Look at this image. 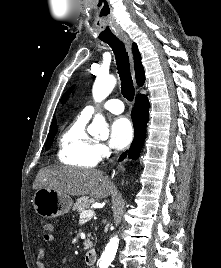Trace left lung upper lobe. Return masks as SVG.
Returning <instances> with one entry per match:
<instances>
[{"instance_id":"obj_1","label":"left lung upper lobe","mask_w":221,"mask_h":268,"mask_svg":"<svg viewBox=\"0 0 221 268\" xmlns=\"http://www.w3.org/2000/svg\"><path fill=\"white\" fill-rule=\"evenodd\" d=\"M72 88L69 89V91L62 97V100L66 98V96L71 92Z\"/></svg>"}]
</instances>
